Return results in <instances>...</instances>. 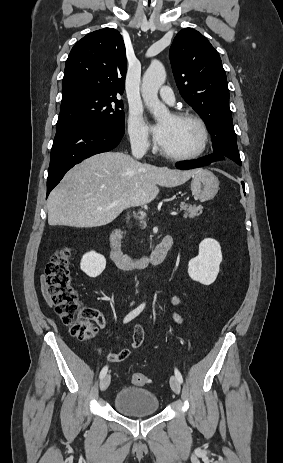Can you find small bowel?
Here are the masks:
<instances>
[{
    "mask_svg": "<svg viewBox=\"0 0 283 463\" xmlns=\"http://www.w3.org/2000/svg\"><path fill=\"white\" fill-rule=\"evenodd\" d=\"M43 289L45 290L46 289V286L43 285ZM172 300L175 304H178L180 302V298L177 296V295H173L172 296ZM175 320L176 321H179V317L178 316H175ZM144 341V332L143 330L136 326L135 327V330H134V335H133V343H132V346L134 348H137L139 346L142 345ZM130 354V350L129 349H122L120 350L119 352L115 353L114 355L117 356L118 360L115 361V362H120V361H124L125 359H127V357L129 356Z\"/></svg>",
    "mask_w": 283,
    "mask_h": 463,
    "instance_id": "small-bowel-1",
    "label": "small bowel"
}]
</instances>
